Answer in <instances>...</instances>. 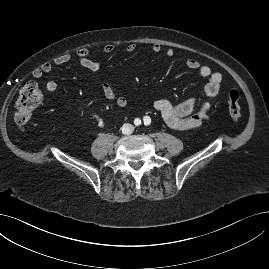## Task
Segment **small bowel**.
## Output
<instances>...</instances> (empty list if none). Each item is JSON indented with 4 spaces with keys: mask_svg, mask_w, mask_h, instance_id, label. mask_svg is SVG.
I'll use <instances>...</instances> for the list:
<instances>
[{
    "mask_svg": "<svg viewBox=\"0 0 269 269\" xmlns=\"http://www.w3.org/2000/svg\"><path fill=\"white\" fill-rule=\"evenodd\" d=\"M115 50L114 44H106L103 47V52L110 54ZM136 50L135 44H129L126 47L127 53H132ZM153 53H160L163 51V47L160 44H153L151 46ZM175 51L172 48L165 50L167 57H173ZM77 59L80 65L91 73H96L100 69V62L91 58V53L86 48H81L73 54H63L56 57L53 63L46 62L33 71V77L35 79L41 78L44 74L51 72L53 65L61 66L71 62L73 59ZM186 66L190 70L197 72L202 78H204L205 84L203 86V93L205 96L213 98L216 97L221 90L223 77L219 72L213 71L209 66L201 64L195 58H188L186 60ZM103 95L113 101L119 108H126L128 105L127 99L118 94L115 89L108 83L102 84ZM57 90V84L54 81H49L45 85L46 96L54 93ZM155 109L161 114L165 123L172 129L179 132H187L194 129H198L202 126L205 120H207L209 111L211 109V103L209 101L203 102L200 106L196 99L190 98L178 104H172L167 100L160 99L154 104Z\"/></svg>",
    "mask_w": 269,
    "mask_h": 269,
    "instance_id": "obj_1",
    "label": "small bowel"
}]
</instances>
